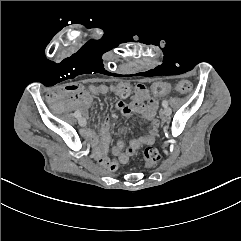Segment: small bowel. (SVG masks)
<instances>
[{
	"label": "small bowel",
	"instance_id": "1",
	"mask_svg": "<svg viewBox=\"0 0 241 241\" xmlns=\"http://www.w3.org/2000/svg\"><path fill=\"white\" fill-rule=\"evenodd\" d=\"M68 93L74 95V107L76 111L86 114L90 106L93 96L104 95L109 93L107 84H93L84 89L80 84H72L66 88ZM61 95L60 90L55 89L49 91L46 94L47 102L51 104L52 109L61 115L63 110L58 106L56 100ZM162 97L160 94H153L150 97L149 90L147 87L138 83L134 86V95L130 104L119 102L117 108L125 116L129 117L133 113L146 119L149 123V128L146 134L132 138L129 141L128 147L124 150V142L119 140L112 148L113 155L117 156L119 161L126 164L131 156L143 145H151L155 142L159 132V120L156 116L157 113V98ZM82 135L91 140L99 154L98 161L101 165L109 167L111 169V162L104 156L107 148V144L110 141V121L105 119L100 128V135L96 136L95 133L90 129H83Z\"/></svg>",
	"mask_w": 241,
	"mask_h": 241
}]
</instances>
